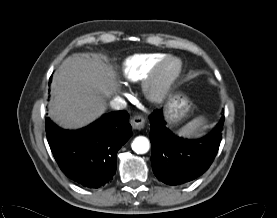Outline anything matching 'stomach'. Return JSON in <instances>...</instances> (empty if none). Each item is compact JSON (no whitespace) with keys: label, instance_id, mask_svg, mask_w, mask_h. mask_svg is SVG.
Here are the masks:
<instances>
[{"label":"stomach","instance_id":"1","mask_svg":"<svg viewBox=\"0 0 277 218\" xmlns=\"http://www.w3.org/2000/svg\"><path fill=\"white\" fill-rule=\"evenodd\" d=\"M191 108L189 99L182 93L174 94L164 107V116L168 124H176L187 116Z\"/></svg>","mask_w":277,"mask_h":218}]
</instances>
